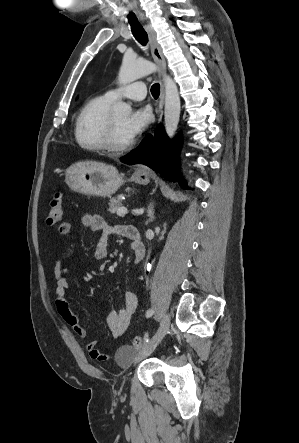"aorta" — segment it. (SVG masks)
Masks as SVG:
<instances>
[{
	"instance_id": "1",
	"label": "aorta",
	"mask_w": 299,
	"mask_h": 443,
	"mask_svg": "<svg viewBox=\"0 0 299 443\" xmlns=\"http://www.w3.org/2000/svg\"><path fill=\"white\" fill-rule=\"evenodd\" d=\"M157 71V66L147 60L135 59L125 55L118 74L119 83L122 85L131 83L141 77L148 76ZM165 130L169 138H173L180 119V97L177 85L170 76H165ZM131 107L125 102H118L112 108V113L116 117H128L131 114Z\"/></svg>"
}]
</instances>
